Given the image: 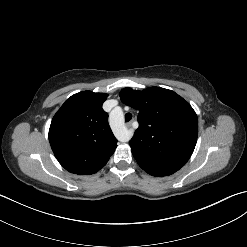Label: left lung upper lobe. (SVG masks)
Segmentation results:
<instances>
[{
  "label": "left lung upper lobe",
  "instance_id": "5c2ea615",
  "mask_svg": "<svg viewBox=\"0 0 247 247\" xmlns=\"http://www.w3.org/2000/svg\"><path fill=\"white\" fill-rule=\"evenodd\" d=\"M121 101L139 110V127L129 144L147 172L167 176L191 157L198 136V119L190 104L172 90L124 88Z\"/></svg>",
  "mask_w": 247,
  "mask_h": 247
}]
</instances>
